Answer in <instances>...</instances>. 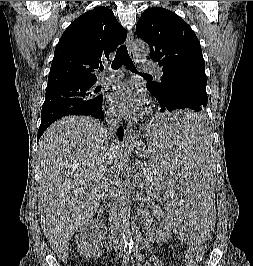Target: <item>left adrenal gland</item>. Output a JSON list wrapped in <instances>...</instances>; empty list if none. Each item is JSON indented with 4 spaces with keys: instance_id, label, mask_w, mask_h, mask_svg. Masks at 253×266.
<instances>
[{
    "instance_id": "1",
    "label": "left adrenal gland",
    "mask_w": 253,
    "mask_h": 266,
    "mask_svg": "<svg viewBox=\"0 0 253 266\" xmlns=\"http://www.w3.org/2000/svg\"><path fill=\"white\" fill-rule=\"evenodd\" d=\"M137 184H138V187H139V189H143V182H142V178L140 177L139 179H137Z\"/></svg>"
}]
</instances>
